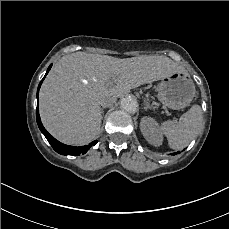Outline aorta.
I'll use <instances>...</instances> for the list:
<instances>
[{"label":"aorta","instance_id":"aorta-1","mask_svg":"<svg viewBox=\"0 0 229 229\" xmlns=\"http://www.w3.org/2000/svg\"><path fill=\"white\" fill-rule=\"evenodd\" d=\"M121 108L129 113H135L138 109V102L132 97H125L121 100Z\"/></svg>","mask_w":229,"mask_h":229}]
</instances>
